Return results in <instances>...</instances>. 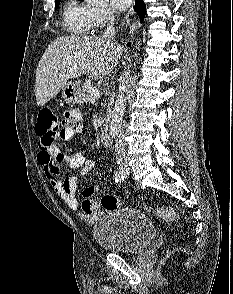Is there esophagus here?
I'll return each mask as SVG.
<instances>
[{
	"mask_svg": "<svg viewBox=\"0 0 233 294\" xmlns=\"http://www.w3.org/2000/svg\"><path fill=\"white\" fill-rule=\"evenodd\" d=\"M133 12V7L131 8V10H130V13H132ZM135 29V26L134 25H132L131 27H130V31H132L133 32V30Z\"/></svg>",
	"mask_w": 233,
	"mask_h": 294,
	"instance_id": "1",
	"label": "esophagus"
}]
</instances>
